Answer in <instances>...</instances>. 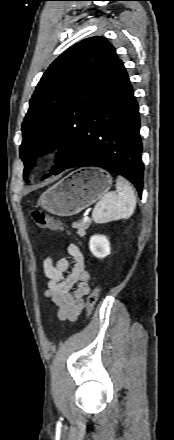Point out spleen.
Wrapping results in <instances>:
<instances>
[{"label":"spleen","mask_w":174,"mask_h":440,"mask_svg":"<svg viewBox=\"0 0 174 440\" xmlns=\"http://www.w3.org/2000/svg\"><path fill=\"white\" fill-rule=\"evenodd\" d=\"M116 187L117 193H106L94 207L92 218L95 223L128 219L133 214L136 197L131 185L126 179L118 176Z\"/></svg>","instance_id":"1"}]
</instances>
